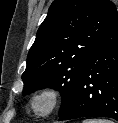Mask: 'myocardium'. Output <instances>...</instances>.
Listing matches in <instances>:
<instances>
[{"mask_svg": "<svg viewBox=\"0 0 118 123\" xmlns=\"http://www.w3.org/2000/svg\"><path fill=\"white\" fill-rule=\"evenodd\" d=\"M61 102V92L55 86L47 85L37 89L29 99V110L38 118H46L52 115ZM44 103L43 110L38 109V104Z\"/></svg>", "mask_w": 118, "mask_h": 123, "instance_id": "obj_1", "label": "myocardium"}]
</instances>
